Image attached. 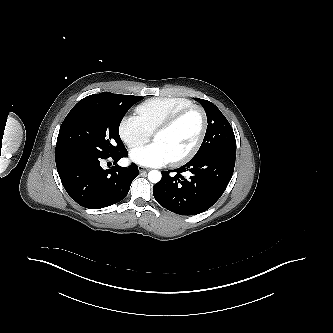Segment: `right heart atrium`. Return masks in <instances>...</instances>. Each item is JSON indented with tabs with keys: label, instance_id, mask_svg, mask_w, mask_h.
Here are the masks:
<instances>
[{
	"label": "right heart atrium",
	"instance_id": "obj_1",
	"mask_svg": "<svg viewBox=\"0 0 333 333\" xmlns=\"http://www.w3.org/2000/svg\"><path fill=\"white\" fill-rule=\"evenodd\" d=\"M119 136L125 145L132 149L146 143L151 133L137 115L124 116L118 126Z\"/></svg>",
	"mask_w": 333,
	"mask_h": 333
}]
</instances>
